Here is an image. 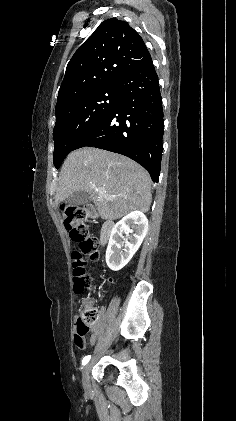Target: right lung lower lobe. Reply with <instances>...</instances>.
I'll return each instance as SVG.
<instances>
[{
  "label": "right lung lower lobe",
  "mask_w": 236,
  "mask_h": 421,
  "mask_svg": "<svg viewBox=\"0 0 236 421\" xmlns=\"http://www.w3.org/2000/svg\"><path fill=\"white\" fill-rule=\"evenodd\" d=\"M118 101L105 119L74 147H96L125 155L158 182L163 151L164 115L152 59L117 83Z\"/></svg>",
  "instance_id": "98d812e1"
}]
</instances>
